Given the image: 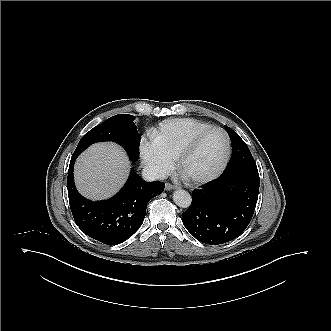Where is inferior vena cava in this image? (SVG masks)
Returning a JSON list of instances; mask_svg holds the SVG:
<instances>
[{"instance_id":"1","label":"inferior vena cava","mask_w":331,"mask_h":331,"mask_svg":"<svg viewBox=\"0 0 331 331\" xmlns=\"http://www.w3.org/2000/svg\"><path fill=\"white\" fill-rule=\"evenodd\" d=\"M142 178L145 181L152 182L164 180L166 178V174L160 167L148 164L142 170Z\"/></svg>"}]
</instances>
